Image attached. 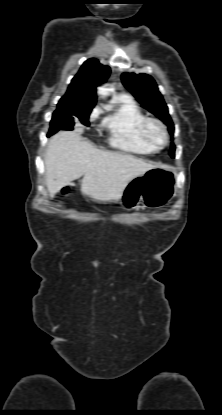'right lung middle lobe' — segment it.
Masks as SVG:
<instances>
[{"instance_id":"right-lung-middle-lobe-1","label":"right lung middle lobe","mask_w":222,"mask_h":415,"mask_svg":"<svg viewBox=\"0 0 222 415\" xmlns=\"http://www.w3.org/2000/svg\"><path fill=\"white\" fill-rule=\"evenodd\" d=\"M93 106H70L57 109L52 116L49 136L59 130H72L76 120L89 126V115Z\"/></svg>"}]
</instances>
